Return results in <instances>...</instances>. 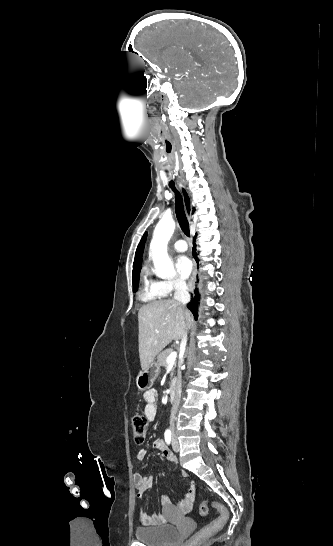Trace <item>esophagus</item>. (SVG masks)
I'll return each instance as SVG.
<instances>
[{
    "mask_svg": "<svg viewBox=\"0 0 333 546\" xmlns=\"http://www.w3.org/2000/svg\"><path fill=\"white\" fill-rule=\"evenodd\" d=\"M178 185H179V189L181 191L182 197H183V202H184L186 213L189 214L190 211H191V199H190L189 193H188L186 187L183 185L182 182H179ZM195 281H196V273H195V271H193V273L191 275V278H190V286L191 287L194 286Z\"/></svg>",
    "mask_w": 333,
    "mask_h": 546,
    "instance_id": "esophagus-1",
    "label": "esophagus"
}]
</instances>
